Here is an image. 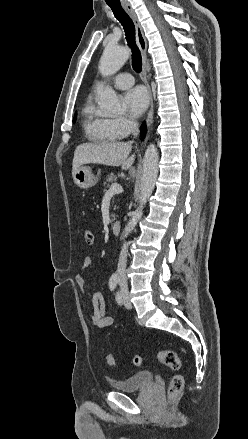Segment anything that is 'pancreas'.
Here are the masks:
<instances>
[{"label": "pancreas", "instance_id": "cf45deb5", "mask_svg": "<svg viewBox=\"0 0 248 439\" xmlns=\"http://www.w3.org/2000/svg\"><path fill=\"white\" fill-rule=\"evenodd\" d=\"M116 179H117V177L112 173L111 175H109L107 177V181L104 183L105 186L108 187L110 185L109 183H112L113 181H116ZM111 216L113 217L112 221H114L115 220V215L112 214Z\"/></svg>", "mask_w": 248, "mask_h": 439}]
</instances>
